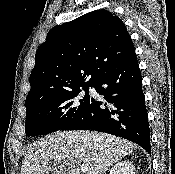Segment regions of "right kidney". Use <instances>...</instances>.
<instances>
[{
	"mask_svg": "<svg viewBox=\"0 0 175 174\" xmlns=\"http://www.w3.org/2000/svg\"><path fill=\"white\" fill-rule=\"evenodd\" d=\"M109 174H135V167L128 160L119 161L111 168Z\"/></svg>",
	"mask_w": 175,
	"mask_h": 174,
	"instance_id": "1",
	"label": "right kidney"
}]
</instances>
